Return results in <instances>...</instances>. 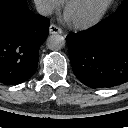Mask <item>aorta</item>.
Returning a JSON list of instances; mask_svg holds the SVG:
<instances>
[{
	"mask_svg": "<svg viewBox=\"0 0 128 128\" xmlns=\"http://www.w3.org/2000/svg\"><path fill=\"white\" fill-rule=\"evenodd\" d=\"M46 44L50 50L58 51L65 46V38L60 34H52L47 38Z\"/></svg>",
	"mask_w": 128,
	"mask_h": 128,
	"instance_id": "762f6f07",
	"label": "aorta"
}]
</instances>
